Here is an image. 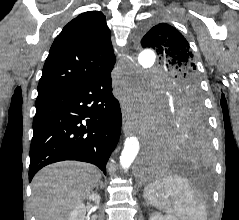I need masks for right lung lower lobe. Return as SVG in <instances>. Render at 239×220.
Instances as JSON below:
<instances>
[{
  "label": "right lung lower lobe",
  "instance_id": "right-lung-lower-lobe-1",
  "mask_svg": "<svg viewBox=\"0 0 239 220\" xmlns=\"http://www.w3.org/2000/svg\"><path fill=\"white\" fill-rule=\"evenodd\" d=\"M111 69L72 89L37 97L30 146L29 181L42 167L78 160L106 163L121 130V110L112 94Z\"/></svg>",
  "mask_w": 239,
  "mask_h": 220
}]
</instances>
